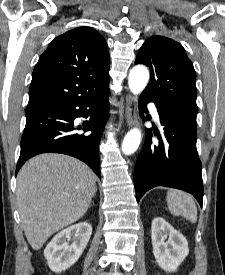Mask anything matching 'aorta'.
I'll use <instances>...</instances> for the list:
<instances>
[{
	"label": "aorta",
	"mask_w": 225,
	"mask_h": 275,
	"mask_svg": "<svg viewBox=\"0 0 225 275\" xmlns=\"http://www.w3.org/2000/svg\"><path fill=\"white\" fill-rule=\"evenodd\" d=\"M149 81V70L143 65H137L130 70L128 85L130 91L138 95L146 87ZM141 142V132L138 128L131 129L124 137L122 142V152L125 155L133 154Z\"/></svg>",
	"instance_id": "762f6f07"
}]
</instances>
